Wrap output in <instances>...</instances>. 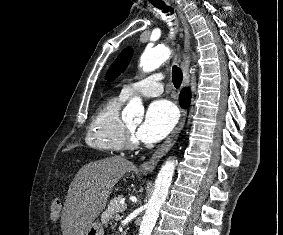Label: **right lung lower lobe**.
<instances>
[{
    "mask_svg": "<svg viewBox=\"0 0 283 235\" xmlns=\"http://www.w3.org/2000/svg\"><path fill=\"white\" fill-rule=\"evenodd\" d=\"M179 101L182 107L188 106L190 103V91L188 89H184L179 97Z\"/></svg>",
    "mask_w": 283,
    "mask_h": 235,
    "instance_id": "obj_1",
    "label": "right lung lower lobe"
}]
</instances>
